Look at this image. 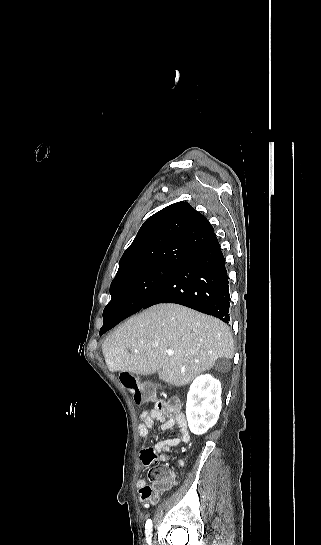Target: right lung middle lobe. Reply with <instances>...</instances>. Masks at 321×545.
Returning <instances> with one entry per match:
<instances>
[{
    "label": "right lung middle lobe",
    "instance_id": "dd1d6c3e",
    "mask_svg": "<svg viewBox=\"0 0 321 545\" xmlns=\"http://www.w3.org/2000/svg\"><path fill=\"white\" fill-rule=\"evenodd\" d=\"M180 266L158 264L134 269L116 276L110 286L112 296L109 306L118 308L119 317L127 318L138 312L168 281ZM104 324L108 320L103 315Z\"/></svg>",
    "mask_w": 321,
    "mask_h": 545
}]
</instances>
